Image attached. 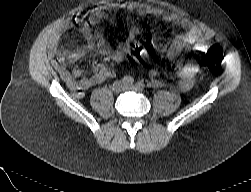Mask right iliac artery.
<instances>
[{"mask_svg":"<svg viewBox=\"0 0 251 192\" xmlns=\"http://www.w3.org/2000/svg\"><path fill=\"white\" fill-rule=\"evenodd\" d=\"M122 81L124 82L125 85H132L134 82V79L131 76H124Z\"/></svg>","mask_w":251,"mask_h":192,"instance_id":"82829eb1","label":"right iliac artery"}]
</instances>
